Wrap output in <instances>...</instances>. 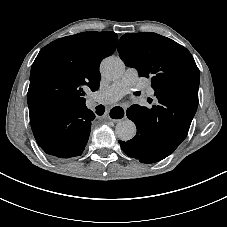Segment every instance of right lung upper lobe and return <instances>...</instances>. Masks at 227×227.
Wrapping results in <instances>:
<instances>
[{
    "label": "right lung upper lobe",
    "mask_w": 227,
    "mask_h": 227,
    "mask_svg": "<svg viewBox=\"0 0 227 227\" xmlns=\"http://www.w3.org/2000/svg\"><path fill=\"white\" fill-rule=\"evenodd\" d=\"M117 41L111 31L82 32L43 47L31 68L28 106L38 100L62 108L86 106L84 89L99 88L100 62L115 51Z\"/></svg>",
    "instance_id": "obj_1"
}]
</instances>
